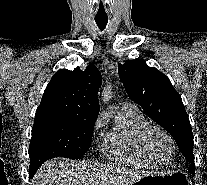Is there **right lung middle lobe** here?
Wrapping results in <instances>:
<instances>
[{
	"label": "right lung middle lobe",
	"instance_id": "obj_1",
	"mask_svg": "<svg viewBox=\"0 0 207 185\" xmlns=\"http://www.w3.org/2000/svg\"><path fill=\"white\" fill-rule=\"evenodd\" d=\"M93 124L68 118L35 117L29 146L30 175L48 159L82 157L92 142Z\"/></svg>",
	"mask_w": 207,
	"mask_h": 185
}]
</instances>
